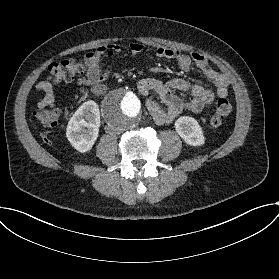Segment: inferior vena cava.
Wrapping results in <instances>:
<instances>
[{"instance_id": "602c4592", "label": "inferior vena cava", "mask_w": 279, "mask_h": 279, "mask_svg": "<svg viewBox=\"0 0 279 279\" xmlns=\"http://www.w3.org/2000/svg\"><path fill=\"white\" fill-rule=\"evenodd\" d=\"M105 131L107 134L112 135V136H118L122 134V129L119 127H113L111 125H107L105 127Z\"/></svg>"}]
</instances>
